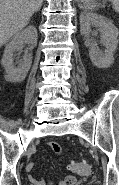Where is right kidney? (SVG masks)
<instances>
[{
	"mask_svg": "<svg viewBox=\"0 0 119 185\" xmlns=\"http://www.w3.org/2000/svg\"><path fill=\"white\" fill-rule=\"evenodd\" d=\"M37 29L34 26H28L27 28L17 32L11 42L5 47L1 64L6 71V80L9 82H22L31 67L32 54H25L23 61H17L13 63L14 52L23 49L24 45L28 43L31 47L37 45Z\"/></svg>",
	"mask_w": 119,
	"mask_h": 185,
	"instance_id": "1",
	"label": "right kidney"
}]
</instances>
